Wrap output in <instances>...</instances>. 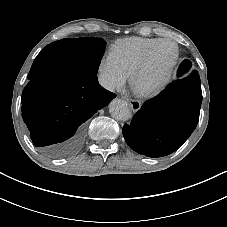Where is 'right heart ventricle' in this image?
<instances>
[{"instance_id":"1","label":"right heart ventricle","mask_w":227,"mask_h":227,"mask_svg":"<svg viewBox=\"0 0 227 227\" xmlns=\"http://www.w3.org/2000/svg\"><path fill=\"white\" fill-rule=\"evenodd\" d=\"M158 40L159 38L143 37L119 39L111 46L109 57L129 75L147 50Z\"/></svg>"}]
</instances>
